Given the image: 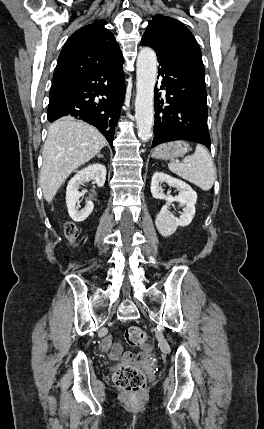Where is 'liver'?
<instances>
[{
  "label": "liver",
  "instance_id": "1",
  "mask_svg": "<svg viewBox=\"0 0 264 429\" xmlns=\"http://www.w3.org/2000/svg\"><path fill=\"white\" fill-rule=\"evenodd\" d=\"M105 145V137L83 121L64 117L52 123L43 147L39 176L45 200L51 203L67 177L98 155Z\"/></svg>",
  "mask_w": 264,
  "mask_h": 429
}]
</instances>
